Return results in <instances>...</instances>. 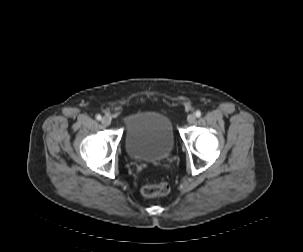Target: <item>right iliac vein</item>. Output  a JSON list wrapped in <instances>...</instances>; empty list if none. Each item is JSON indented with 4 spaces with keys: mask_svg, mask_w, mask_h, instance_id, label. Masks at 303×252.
<instances>
[{
    "mask_svg": "<svg viewBox=\"0 0 303 252\" xmlns=\"http://www.w3.org/2000/svg\"><path fill=\"white\" fill-rule=\"evenodd\" d=\"M101 123L104 125V126H109L110 123H111V119L109 117H103L101 119Z\"/></svg>",
    "mask_w": 303,
    "mask_h": 252,
    "instance_id": "obj_1",
    "label": "right iliac vein"
}]
</instances>
